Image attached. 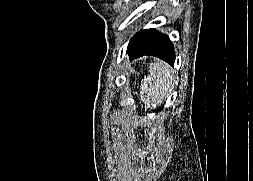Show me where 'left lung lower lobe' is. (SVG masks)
Returning <instances> with one entry per match:
<instances>
[{
  "label": "left lung lower lobe",
  "instance_id": "obj_1",
  "mask_svg": "<svg viewBox=\"0 0 253 181\" xmlns=\"http://www.w3.org/2000/svg\"><path fill=\"white\" fill-rule=\"evenodd\" d=\"M127 53L130 60L143 55H151L174 65L175 54L172 42L167 35L155 29H146L135 34L129 42Z\"/></svg>",
  "mask_w": 253,
  "mask_h": 181
}]
</instances>
